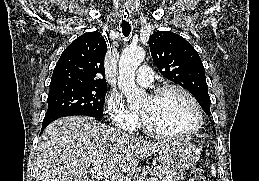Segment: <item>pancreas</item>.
<instances>
[{
    "label": "pancreas",
    "instance_id": "cf45deb5",
    "mask_svg": "<svg viewBox=\"0 0 259 181\" xmlns=\"http://www.w3.org/2000/svg\"><path fill=\"white\" fill-rule=\"evenodd\" d=\"M146 172H148L153 177H157L159 179L157 181H183L185 178L184 174L181 172L166 170L163 168L147 166Z\"/></svg>",
    "mask_w": 259,
    "mask_h": 181
}]
</instances>
